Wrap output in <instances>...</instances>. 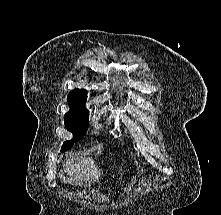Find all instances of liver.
<instances>
[{
  "instance_id": "1",
  "label": "liver",
  "mask_w": 221,
  "mask_h": 215,
  "mask_svg": "<svg viewBox=\"0 0 221 215\" xmlns=\"http://www.w3.org/2000/svg\"><path fill=\"white\" fill-rule=\"evenodd\" d=\"M63 171L67 175L66 182L75 184V186L82 184L83 181H97L101 176V171L98 166L94 165L92 158H85L73 154L66 159L63 164Z\"/></svg>"
}]
</instances>
